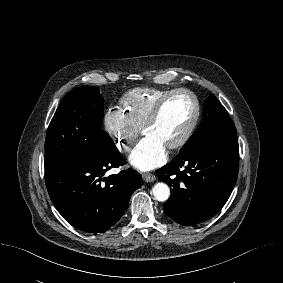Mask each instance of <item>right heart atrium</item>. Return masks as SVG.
<instances>
[{
	"instance_id": "1",
	"label": "right heart atrium",
	"mask_w": 283,
	"mask_h": 283,
	"mask_svg": "<svg viewBox=\"0 0 283 283\" xmlns=\"http://www.w3.org/2000/svg\"><path fill=\"white\" fill-rule=\"evenodd\" d=\"M103 123L116 147L124 153L131 151L140 130L126 117L123 111L119 108L107 110L103 117Z\"/></svg>"
}]
</instances>
